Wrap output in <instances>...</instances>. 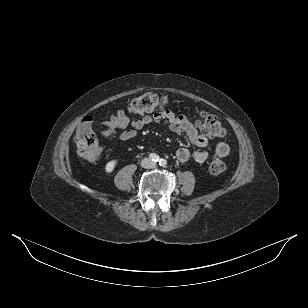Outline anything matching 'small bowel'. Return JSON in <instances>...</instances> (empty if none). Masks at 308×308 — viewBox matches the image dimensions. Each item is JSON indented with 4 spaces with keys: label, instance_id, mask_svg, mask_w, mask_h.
I'll list each match as a JSON object with an SVG mask.
<instances>
[{
    "label": "small bowel",
    "instance_id": "obj_1",
    "mask_svg": "<svg viewBox=\"0 0 308 308\" xmlns=\"http://www.w3.org/2000/svg\"><path fill=\"white\" fill-rule=\"evenodd\" d=\"M156 123L164 124L177 135L185 134L191 144L198 148L192 153L193 159L198 163H203L208 158V153L203 150L208 145L207 137L199 132L196 127L184 115H176L172 111L155 112L145 114L142 117H129L123 110H117L115 115L104 121L105 127L114 128L120 131L118 138L122 141L131 140L145 126ZM217 155L225 157L229 153V146L224 142L215 145ZM191 156L187 148H180L176 152V157L181 162H186Z\"/></svg>",
    "mask_w": 308,
    "mask_h": 308
}]
</instances>
